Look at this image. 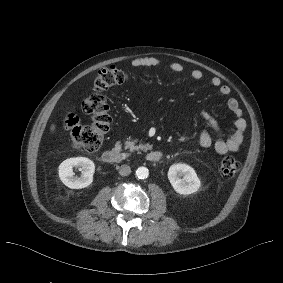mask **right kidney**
Segmentation results:
<instances>
[{
  "label": "right kidney",
  "instance_id": "obj_1",
  "mask_svg": "<svg viewBox=\"0 0 283 283\" xmlns=\"http://www.w3.org/2000/svg\"><path fill=\"white\" fill-rule=\"evenodd\" d=\"M73 167H79L82 170L80 177H75ZM95 165L92 160L86 157H74L63 161L58 168L60 180L64 185L71 189H82L93 182Z\"/></svg>",
  "mask_w": 283,
  "mask_h": 283
}]
</instances>
